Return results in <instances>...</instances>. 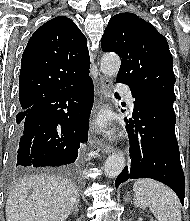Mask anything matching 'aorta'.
<instances>
[{"mask_svg":"<svg viewBox=\"0 0 190 221\" xmlns=\"http://www.w3.org/2000/svg\"><path fill=\"white\" fill-rule=\"evenodd\" d=\"M120 58L116 54L103 55L100 70L106 76H116L120 69ZM125 166V157L121 153L109 156L105 162V173L109 178L117 177Z\"/></svg>","mask_w":190,"mask_h":221,"instance_id":"1","label":"aorta"}]
</instances>
